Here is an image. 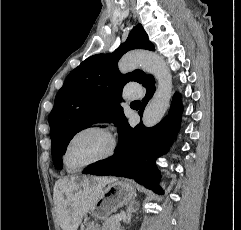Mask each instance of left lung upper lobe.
<instances>
[{
    "label": "left lung upper lobe",
    "instance_id": "5c2ea615",
    "mask_svg": "<svg viewBox=\"0 0 241 230\" xmlns=\"http://www.w3.org/2000/svg\"><path fill=\"white\" fill-rule=\"evenodd\" d=\"M133 49L154 51L141 24L113 53L87 58L67 76L49 115L55 168L62 169V154L77 132L97 122L112 121L119 126L125 118L120 105L124 85L130 81L144 84L150 77L141 70L128 74L118 71L119 59Z\"/></svg>",
    "mask_w": 241,
    "mask_h": 230
}]
</instances>
